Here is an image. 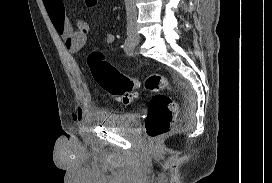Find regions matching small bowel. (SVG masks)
<instances>
[{
    "label": "small bowel",
    "mask_w": 272,
    "mask_h": 183,
    "mask_svg": "<svg viewBox=\"0 0 272 183\" xmlns=\"http://www.w3.org/2000/svg\"><path fill=\"white\" fill-rule=\"evenodd\" d=\"M43 3L54 28L61 35L66 49L73 54L80 52L87 40V34L90 30L89 24L80 19L74 27L65 13L64 0H43ZM115 39L113 33H107L104 36L106 44L114 43ZM73 120L81 123L83 120L82 112H74Z\"/></svg>",
    "instance_id": "1"
}]
</instances>
